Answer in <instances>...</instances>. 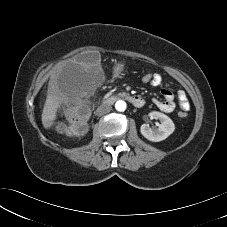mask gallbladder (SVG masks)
<instances>
[{
  "label": "gallbladder",
  "instance_id": "1",
  "mask_svg": "<svg viewBox=\"0 0 227 227\" xmlns=\"http://www.w3.org/2000/svg\"><path fill=\"white\" fill-rule=\"evenodd\" d=\"M99 55L94 52H89L82 54L78 57V61L81 62H90L91 64L97 65L99 63Z\"/></svg>",
  "mask_w": 227,
  "mask_h": 227
}]
</instances>
